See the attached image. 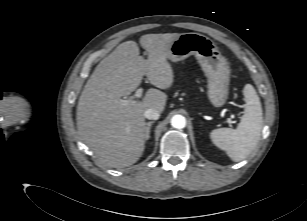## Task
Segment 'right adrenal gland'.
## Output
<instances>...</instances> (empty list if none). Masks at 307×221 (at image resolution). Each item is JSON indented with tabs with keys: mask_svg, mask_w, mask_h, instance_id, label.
<instances>
[{
	"mask_svg": "<svg viewBox=\"0 0 307 221\" xmlns=\"http://www.w3.org/2000/svg\"><path fill=\"white\" fill-rule=\"evenodd\" d=\"M154 123V121H150L146 123V130H145V140H148L150 138V130H151V125Z\"/></svg>",
	"mask_w": 307,
	"mask_h": 221,
	"instance_id": "right-adrenal-gland-1",
	"label": "right adrenal gland"
}]
</instances>
